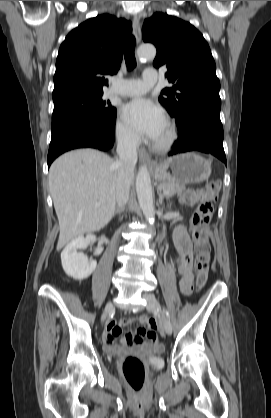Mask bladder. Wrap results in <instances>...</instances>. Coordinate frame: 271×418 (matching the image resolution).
<instances>
[{"mask_svg":"<svg viewBox=\"0 0 271 418\" xmlns=\"http://www.w3.org/2000/svg\"><path fill=\"white\" fill-rule=\"evenodd\" d=\"M160 353H161V351L159 350V351L155 352L151 357L150 362H151V365L154 369H159L163 365V361L160 357Z\"/></svg>","mask_w":271,"mask_h":418,"instance_id":"bladder-1","label":"bladder"}]
</instances>
